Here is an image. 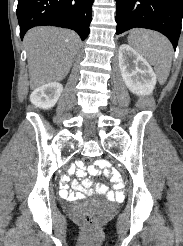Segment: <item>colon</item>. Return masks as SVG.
<instances>
[{
	"label": "colon",
	"instance_id": "obj_1",
	"mask_svg": "<svg viewBox=\"0 0 183 246\" xmlns=\"http://www.w3.org/2000/svg\"><path fill=\"white\" fill-rule=\"evenodd\" d=\"M83 165H92L95 162L93 155H86L81 158ZM80 220L88 227L94 228L98 223V215L90 210H85L80 214Z\"/></svg>",
	"mask_w": 183,
	"mask_h": 246
}]
</instances>
